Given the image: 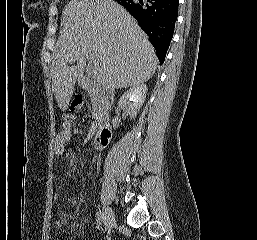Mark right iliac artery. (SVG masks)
<instances>
[{"instance_id": "1", "label": "right iliac artery", "mask_w": 257, "mask_h": 240, "mask_svg": "<svg viewBox=\"0 0 257 240\" xmlns=\"http://www.w3.org/2000/svg\"><path fill=\"white\" fill-rule=\"evenodd\" d=\"M103 217H104V214H103L102 211H98L96 213V219H97L98 222H100L103 219Z\"/></svg>"}]
</instances>
